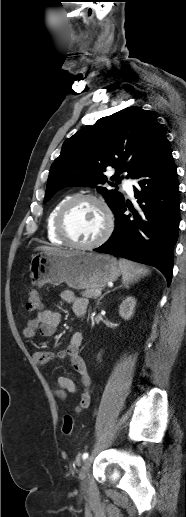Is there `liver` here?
I'll return each instance as SVG.
<instances>
[{
    "mask_svg": "<svg viewBox=\"0 0 186 517\" xmlns=\"http://www.w3.org/2000/svg\"><path fill=\"white\" fill-rule=\"evenodd\" d=\"M36 250H41L44 253L58 254V255H68L71 253L66 250H61L60 248L49 247V246H40V247H37Z\"/></svg>",
    "mask_w": 186,
    "mask_h": 517,
    "instance_id": "obj_1",
    "label": "liver"
}]
</instances>
